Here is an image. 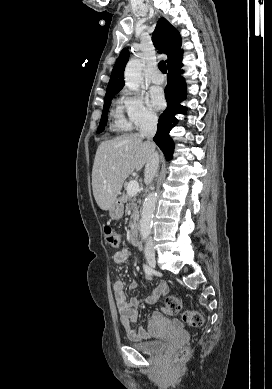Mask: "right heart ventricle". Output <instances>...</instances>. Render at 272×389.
Returning a JSON list of instances; mask_svg holds the SVG:
<instances>
[{"instance_id":"obj_1","label":"right heart ventricle","mask_w":272,"mask_h":389,"mask_svg":"<svg viewBox=\"0 0 272 389\" xmlns=\"http://www.w3.org/2000/svg\"><path fill=\"white\" fill-rule=\"evenodd\" d=\"M113 124L112 127L116 131H128L130 126L128 122L123 118L122 110L120 107H116L111 113Z\"/></svg>"}]
</instances>
